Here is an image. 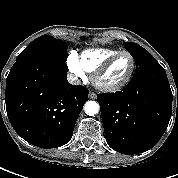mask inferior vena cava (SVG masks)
I'll use <instances>...</instances> for the list:
<instances>
[{
  "label": "inferior vena cava",
  "mask_w": 178,
  "mask_h": 178,
  "mask_svg": "<svg viewBox=\"0 0 178 178\" xmlns=\"http://www.w3.org/2000/svg\"><path fill=\"white\" fill-rule=\"evenodd\" d=\"M68 80L70 83H72L74 85L81 84V81L76 76H74L72 74L68 75Z\"/></svg>",
  "instance_id": "602c4592"
}]
</instances>
